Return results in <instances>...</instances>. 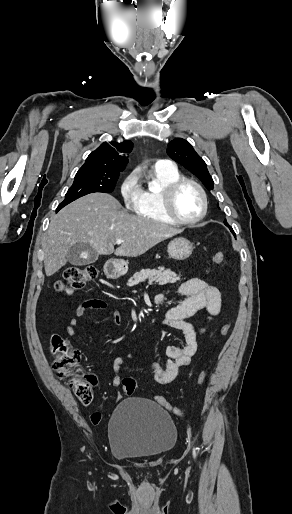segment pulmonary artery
I'll return each instance as SVG.
<instances>
[{
  "label": "pulmonary artery",
  "mask_w": 292,
  "mask_h": 514,
  "mask_svg": "<svg viewBox=\"0 0 292 514\" xmlns=\"http://www.w3.org/2000/svg\"><path fill=\"white\" fill-rule=\"evenodd\" d=\"M157 170L159 172H167V173H175L177 172V168L174 167V164L171 162L169 157H164L162 161L157 163Z\"/></svg>",
  "instance_id": "obj_1"
}]
</instances>
